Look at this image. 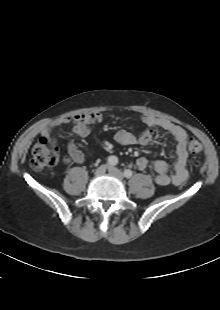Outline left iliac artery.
Segmentation results:
<instances>
[{
	"mask_svg": "<svg viewBox=\"0 0 220 310\" xmlns=\"http://www.w3.org/2000/svg\"><path fill=\"white\" fill-rule=\"evenodd\" d=\"M124 176L126 177V178H131L132 177V175H133V172L130 170V169H126V170H124Z\"/></svg>",
	"mask_w": 220,
	"mask_h": 310,
	"instance_id": "1",
	"label": "left iliac artery"
}]
</instances>
